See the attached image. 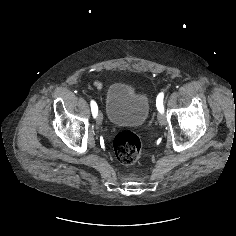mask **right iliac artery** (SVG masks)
I'll return each mask as SVG.
<instances>
[{
  "instance_id": "obj_1",
  "label": "right iliac artery",
  "mask_w": 236,
  "mask_h": 236,
  "mask_svg": "<svg viewBox=\"0 0 236 236\" xmlns=\"http://www.w3.org/2000/svg\"><path fill=\"white\" fill-rule=\"evenodd\" d=\"M90 105H91L92 114H93L94 117H96L97 113H98V106H97L96 102L93 101V100L91 101Z\"/></svg>"
}]
</instances>
